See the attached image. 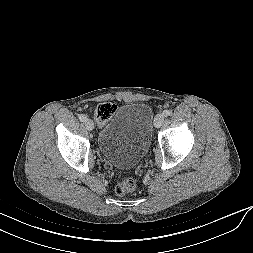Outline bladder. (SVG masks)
I'll return each mask as SVG.
<instances>
[{"instance_id":"31cf9c89","label":"bladder","mask_w":253,"mask_h":253,"mask_svg":"<svg viewBox=\"0 0 253 253\" xmlns=\"http://www.w3.org/2000/svg\"><path fill=\"white\" fill-rule=\"evenodd\" d=\"M152 108L143 102L121 105L102 125L98 146L103 158L118 168H132L145 157L152 136Z\"/></svg>"}]
</instances>
